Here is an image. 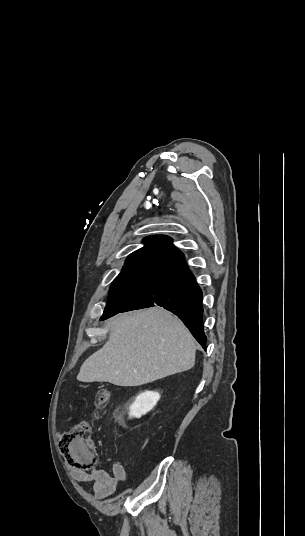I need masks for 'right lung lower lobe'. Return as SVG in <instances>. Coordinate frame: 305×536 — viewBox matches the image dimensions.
<instances>
[{"label":"right lung lower lobe","instance_id":"98d812e1","mask_svg":"<svg viewBox=\"0 0 305 536\" xmlns=\"http://www.w3.org/2000/svg\"><path fill=\"white\" fill-rule=\"evenodd\" d=\"M155 305L162 306L177 315L195 339L206 349V336L202 322V291L188 268L165 277L154 288L120 312ZM112 316L114 315H108L101 320Z\"/></svg>","mask_w":305,"mask_h":536}]
</instances>
